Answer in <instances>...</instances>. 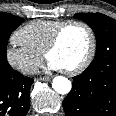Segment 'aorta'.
<instances>
[{
    "label": "aorta",
    "mask_w": 116,
    "mask_h": 116,
    "mask_svg": "<svg viewBox=\"0 0 116 116\" xmlns=\"http://www.w3.org/2000/svg\"><path fill=\"white\" fill-rule=\"evenodd\" d=\"M71 82L66 77L56 76L53 79L52 87L59 94H67L71 90Z\"/></svg>",
    "instance_id": "aorta-1"
}]
</instances>
